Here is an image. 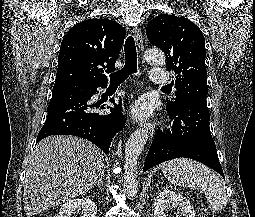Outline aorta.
Returning a JSON list of instances; mask_svg holds the SVG:
<instances>
[{"label": "aorta", "mask_w": 255, "mask_h": 217, "mask_svg": "<svg viewBox=\"0 0 255 217\" xmlns=\"http://www.w3.org/2000/svg\"><path fill=\"white\" fill-rule=\"evenodd\" d=\"M145 60L152 65H163L165 63V56L162 51L158 49H148L144 53ZM148 130L140 128L135 130L128 139L125 147L124 160V188L126 194L133 198L137 193V161L141 154L147 139Z\"/></svg>", "instance_id": "762f6f07"}]
</instances>
